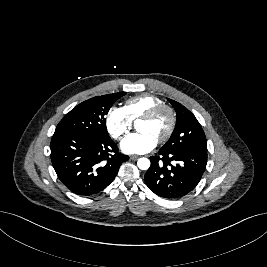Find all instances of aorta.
Returning a JSON list of instances; mask_svg holds the SVG:
<instances>
[{
	"label": "aorta",
	"instance_id": "762f6f07",
	"mask_svg": "<svg viewBox=\"0 0 267 267\" xmlns=\"http://www.w3.org/2000/svg\"><path fill=\"white\" fill-rule=\"evenodd\" d=\"M137 166L141 170H147L150 167V160L145 157L139 158L137 161Z\"/></svg>",
	"mask_w": 267,
	"mask_h": 267
}]
</instances>
